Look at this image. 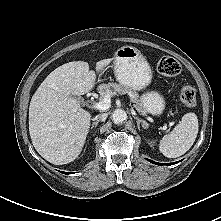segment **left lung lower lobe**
I'll return each instance as SVG.
<instances>
[{"mask_svg":"<svg viewBox=\"0 0 221 221\" xmlns=\"http://www.w3.org/2000/svg\"><path fill=\"white\" fill-rule=\"evenodd\" d=\"M148 160V159H147ZM148 161H150V162H152V163H154V164H157V165H163V164H161V163H156V162H154V161H151V160H148ZM177 163V162H176ZM172 164H175V163H172ZM164 165H168V164H164Z\"/></svg>","mask_w":221,"mask_h":221,"instance_id":"obj_1","label":"left lung lower lobe"}]
</instances>
